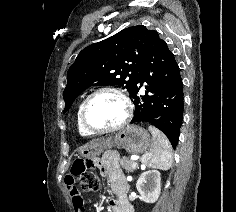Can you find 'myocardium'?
<instances>
[{"mask_svg":"<svg viewBox=\"0 0 236 212\" xmlns=\"http://www.w3.org/2000/svg\"><path fill=\"white\" fill-rule=\"evenodd\" d=\"M105 92L113 93L122 100L125 107L124 117L120 123H118L117 125L113 127H108V128H103V129L93 128L92 126L89 125L86 118L87 107L90 101L95 96L101 93H105ZM132 114H133L132 101L122 89L115 86H103L91 92L82 102L81 109H80V121L84 129L90 134H108V133L117 132L123 129L130 122Z\"/></svg>","mask_w":236,"mask_h":212,"instance_id":"f54148a6","label":"myocardium"}]
</instances>
